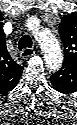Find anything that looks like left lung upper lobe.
Here are the masks:
<instances>
[{
	"mask_svg": "<svg viewBox=\"0 0 77 125\" xmlns=\"http://www.w3.org/2000/svg\"><path fill=\"white\" fill-rule=\"evenodd\" d=\"M61 40L64 44V63L62 68L51 76V83L57 91L67 92V81L72 65L77 61V16L64 15L59 25Z\"/></svg>",
	"mask_w": 77,
	"mask_h": 125,
	"instance_id": "obj_1",
	"label": "left lung upper lobe"
}]
</instances>
